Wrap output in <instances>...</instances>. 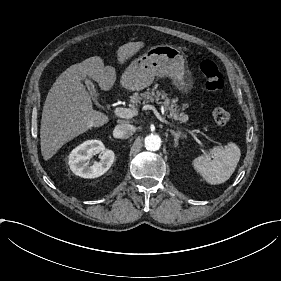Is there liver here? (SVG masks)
I'll return each instance as SVG.
<instances>
[{
    "instance_id": "obj_1",
    "label": "liver",
    "mask_w": 281,
    "mask_h": 281,
    "mask_svg": "<svg viewBox=\"0 0 281 281\" xmlns=\"http://www.w3.org/2000/svg\"><path fill=\"white\" fill-rule=\"evenodd\" d=\"M142 47L143 42L120 46L117 50L119 64ZM86 76L96 81L104 91H109L116 81L115 68L104 66L99 56L74 64L60 74L47 94L41 118L40 145L46 161L65 143L109 121L104 113L93 110L91 96L81 82Z\"/></svg>"
}]
</instances>
